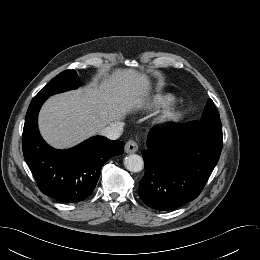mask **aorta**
<instances>
[{
    "mask_svg": "<svg viewBox=\"0 0 260 260\" xmlns=\"http://www.w3.org/2000/svg\"><path fill=\"white\" fill-rule=\"evenodd\" d=\"M124 166L130 172H140L144 167L143 158L137 154H130L124 159Z\"/></svg>",
    "mask_w": 260,
    "mask_h": 260,
    "instance_id": "obj_1",
    "label": "aorta"
}]
</instances>
